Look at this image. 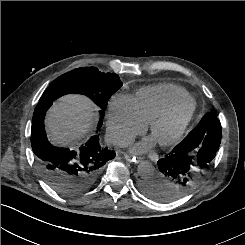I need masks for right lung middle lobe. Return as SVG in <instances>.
Masks as SVG:
<instances>
[{
	"label": "right lung middle lobe",
	"instance_id": "1",
	"mask_svg": "<svg viewBox=\"0 0 245 245\" xmlns=\"http://www.w3.org/2000/svg\"><path fill=\"white\" fill-rule=\"evenodd\" d=\"M122 87L117 74L102 73L94 67H81L67 72L51 82L44 91L39 102L56 100L65 94H83L92 99L100 107L102 126L105 109L110 97Z\"/></svg>",
	"mask_w": 245,
	"mask_h": 245
}]
</instances>
